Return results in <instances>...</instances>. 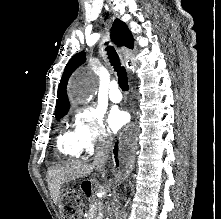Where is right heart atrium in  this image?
I'll return each instance as SVG.
<instances>
[{
    "mask_svg": "<svg viewBox=\"0 0 221 219\" xmlns=\"http://www.w3.org/2000/svg\"><path fill=\"white\" fill-rule=\"evenodd\" d=\"M72 127L81 153L92 154L106 145L107 131L99 112L75 110Z\"/></svg>",
    "mask_w": 221,
    "mask_h": 219,
    "instance_id": "obj_1",
    "label": "right heart atrium"
}]
</instances>
